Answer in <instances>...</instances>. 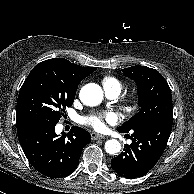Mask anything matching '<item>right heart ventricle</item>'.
Returning a JSON list of instances; mask_svg holds the SVG:
<instances>
[{
    "mask_svg": "<svg viewBox=\"0 0 194 194\" xmlns=\"http://www.w3.org/2000/svg\"><path fill=\"white\" fill-rule=\"evenodd\" d=\"M102 85L105 91L121 93L123 89L122 82L113 76H105L102 79Z\"/></svg>",
    "mask_w": 194,
    "mask_h": 194,
    "instance_id": "e07e8e85",
    "label": "right heart ventricle"
}]
</instances>
